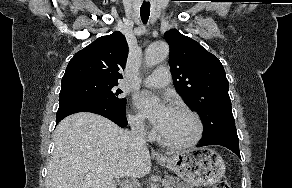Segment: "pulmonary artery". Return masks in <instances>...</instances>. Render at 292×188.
Masks as SVG:
<instances>
[{
	"label": "pulmonary artery",
	"mask_w": 292,
	"mask_h": 188,
	"mask_svg": "<svg viewBox=\"0 0 292 188\" xmlns=\"http://www.w3.org/2000/svg\"><path fill=\"white\" fill-rule=\"evenodd\" d=\"M170 82V72L167 67H159L144 78L143 83L148 87L163 88Z\"/></svg>",
	"instance_id": "pulmonary-artery-1"
}]
</instances>
